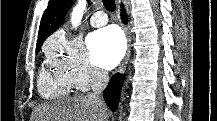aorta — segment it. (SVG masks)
Instances as JSON below:
<instances>
[{
	"mask_svg": "<svg viewBox=\"0 0 217 121\" xmlns=\"http://www.w3.org/2000/svg\"><path fill=\"white\" fill-rule=\"evenodd\" d=\"M85 8H86V2L85 0H81L78 2L77 6L73 9L71 22L74 27H76L80 23Z\"/></svg>",
	"mask_w": 217,
	"mask_h": 121,
	"instance_id": "aorta-1",
	"label": "aorta"
}]
</instances>
